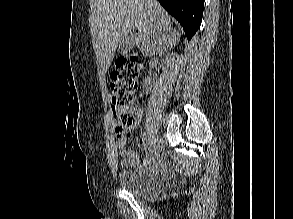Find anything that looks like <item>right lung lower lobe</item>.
<instances>
[{
  "label": "right lung lower lobe",
  "mask_w": 293,
  "mask_h": 219,
  "mask_svg": "<svg viewBox=\"0 0 293 219\" xmlns=\"http://www.w3.org/2000/svg\"><path fill=\"white\" fill-rule=\"evenodd\" d=\"M182 25L188 41L198 30L203 16L204 0H158Z\"/></svg>",
  "instance_id": "right-lung-lower-lobe-1"
}]
</instances>
